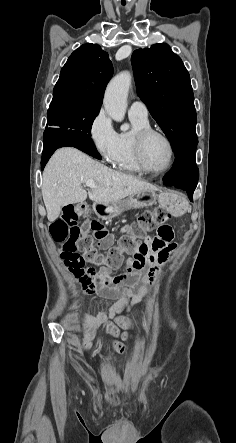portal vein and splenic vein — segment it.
<instances>
[{
	"label": "portal vein and splenic vein",
	"instance_id": "1",
	"mask_svg": "<svg viewBox=\"0 0 236 443\" xmlns=\"http://www.w3.org/2000/svg\"><path fill=\"white\" fill-rule=\"evenodd\" d=\"M85 184H86L87 187H90V188H96L97 187V185L95 184V182L93 180H87Z\"/></svg>",
	"mask_w": 236,
	"mask_h": 443
}]
</instances>
